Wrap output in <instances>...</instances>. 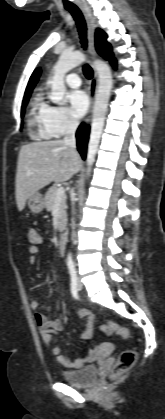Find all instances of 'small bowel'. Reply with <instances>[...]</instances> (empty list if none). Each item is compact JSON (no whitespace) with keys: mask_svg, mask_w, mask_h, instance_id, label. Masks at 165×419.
<instances>
[{"mask_svg":"<svg viewBox=\"0 0 165 419\" xmlns=\"http://www.w3.org/2000/svg\"><path fill=\"white\" fill-rule=\"evenodd\" d=\"M40 242L41 239L39 237V241L37 243H33V245H31L29 248L28 263L31 265L37 262V256L40 252L38 245ZM30 306L34 311L35 321L37 326L39 327L42 341L46 345H51L53 343L54 333L61 330L62 328V321L58 318H48L46 315L41 313L39 311V302L37 300L31 301ZM78 315L87 319V327L82 333V338L85 340H89L92 337L94 315L87 309H80L78 311ZM99 350L100 347L96 346L88 350L82 357L78 359H71L63 355L61 353V349L58 346L52 347L51 351L53 356L56 358L57 362L63 367L68 369H79L95 360V358L98 356Z\"/></svg>","mask_w":165,"mask_h":419,"instance_id":"small-bowel-1","label":"small bowel"}]
</instances>
